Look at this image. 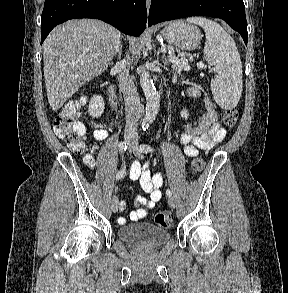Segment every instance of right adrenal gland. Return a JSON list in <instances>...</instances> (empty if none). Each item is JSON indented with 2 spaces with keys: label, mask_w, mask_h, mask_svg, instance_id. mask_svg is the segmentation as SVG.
I'll return each instance as SVG.
<instances>
[{
  "label": "right adrenal gland",
  "mask_w": 288,
  "mask_h": 293,
  "mask_svg": "<svg viewBox=\"0 0 288 293\" xmlns=\"http://www.w3.org/2000/svg\"><path fill=\"white\" fill-rule=\"evenodd\" d=\"M121 50H122V45H120V47H119V51H118V58L120 59V57H121Z\"/></svg>",
  "instance_id": "right-adrenal-gland-1"
}]
</instances>
